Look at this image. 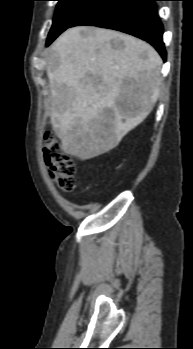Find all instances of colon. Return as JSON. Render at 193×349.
I'll return each mask as SVG.
<instances>
[{
  "label": "colon",
  "mask_w": 193,
  "mask_h": 349,
  "mask_svg": "<svg viewBox=\"0 0 193 349\" xmlns=\"http://www.w3.org/2000/svg\"><path fill=\"white\" fill-rule=\"evenodd\" d=\"M43 153L52 179L63 191H73L76 185L75 163L72 157L63 151L60 142L54 135L46 134Z\"/></svg>",
  "instance_id": "5ec220e1"
}]
</instances>
